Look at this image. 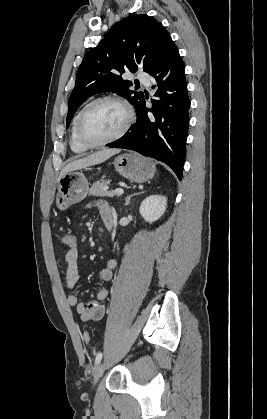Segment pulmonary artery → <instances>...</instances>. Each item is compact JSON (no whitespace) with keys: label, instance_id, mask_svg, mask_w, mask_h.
I'll use <instances>...</instances> for the list:
<instances>
[{"label":"pulmonary artery","instance_id":"obj_1","mask_svg":"<svg viewBox=\"0 0 267 419\" xmlns=\"http://www.w3.org/2000/svg\"><path fill=\"white\" fill-rule=\"evenodd\" d=\"M137 77L145 85H149L150 84L151 77L148 74L143 73V72H140V73H138Z\"/></svg>","mask_w":267,"mask_h":419}]
</instances>
